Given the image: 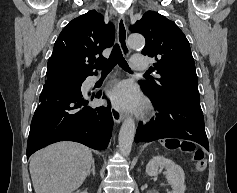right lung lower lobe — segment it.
Masks as SVG:
<instances>
[{
  "label": "right lung lower lobe",
  "instance_id": "1",
  "mask_svg": "<svg viewBox=\"0 0 237 193\" xmlns=\"http://www.w3.org/2000/svg\"><path fill=\"white\" fill-rule=\"evenodd\" d=\"M80 88L55 77L47 78L31 122L27 159L58 141H75L96 150L107 148L113 126L111 105L87 106L88 98H100L101 92L82 95Z\"/></svg>",
  "mask_w": 237,
  "mask_h": 193
}]
</instances>
